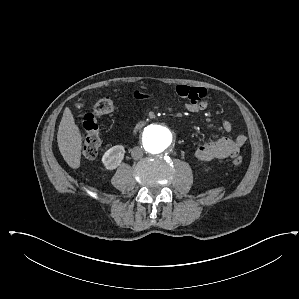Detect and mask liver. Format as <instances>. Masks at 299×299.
Returning a JSON list of instances; mask_svg holds the SVG:
<instances>
[{"label":"liver","instance_id":"liver-1","mask_svg":"<svg viewBox=\"0 0 299 299\" xmlns=\"http://www.w3.org/2000/svg\"><path fill=\"white\" fill-rule=\"evenodd\" d=\"M57 142L60 153L66 163L73 169L79 168L82 136L69 107H66L64 110L57 133Z\"/></svg>","mask_w":299,"mask_h":299}]
</instances>
